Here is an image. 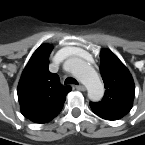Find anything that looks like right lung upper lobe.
<instances>
[{
    "mask_svg": "<svg viewBox=\"0 0 145 145\" xmlns=\"http://www.w3.org/2000/svg\"><path fill=\"white\" fill-rule=\"evenodd\" d=\"M53 47L41 45L26 65L19 85L18 100L22 114L35 123L55 118L64 105L71 87L63 86L59 76L49 71V55Z\"/></svg>",
    "mask_w": 145,
    "mask_h": 145,
    "instance_id": "right-lung-upper-lobe-1",
    "label": "right lung upper lobe"
}]
</instances>
